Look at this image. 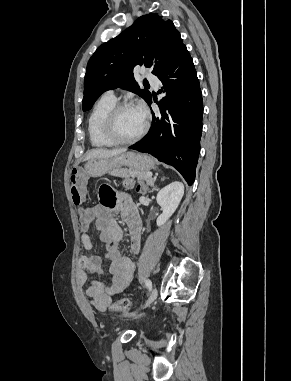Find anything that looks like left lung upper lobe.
Returning a JSON list of instances; mask_svg holds the SVG:
<instances>
[{
	"mask_svg": "<svg viewBox=\"0 0 291 381\" xmlns=\"http://www.w3.org/2000/svg\"><path fill=\"white\" fill-rule=\"evenodd\" d=\"M172 21L157 13L139 17L117 37L102 44L90 58L85 80L82 109L89 110L105 91L121 87L142 97L151 93L140 89L133 76L136 65L152 68L157 77L186 47Z\"/></svg>",
	"mask_w": 291,
	"mask_h": 381,
	"instance_id": "left-lung-upper-lobe-1",
	"label": "left lung upper lobe"
}]
</instances>
